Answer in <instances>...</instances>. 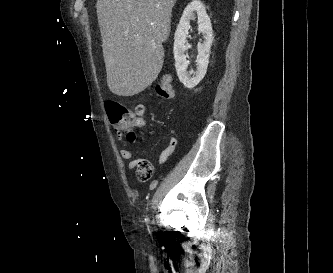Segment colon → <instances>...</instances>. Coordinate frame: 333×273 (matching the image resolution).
<instances>
[{
    "label": "colon",
    "instance_id": "colon-1",
    "mask_svg": "<svg viewBox=\"0 0 333 273\" xmlns=\"http://www.w3.org/2000/svg\"><path fill=\"white\" fill-rule=\"evenodd\" d=\"M156 92L164 99L173 97V80L170 75H163L158 80L156 83ZM105 107L109 121L115 132L128 141H133L136 137L134 129L138 126L137 118L132 110L116 101H107ZM135 172L138 180L142 182L148 181L153 174L152 164L146 159H139L135 167Z\"/></svg>",
    "mask_w": 333,
    "mask_h": 273
}]
</instances>
